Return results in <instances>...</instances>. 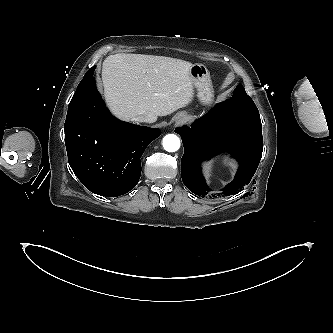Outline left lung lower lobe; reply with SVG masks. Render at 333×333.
<instances>
[{"instance_id": "obj_1", "label": "left lung lower lobe", "mask_w": 333, "mask_h": 333, "mask_svg": "<svg viewBox=\"0 0 333 333\" xmlns=\"http://www.w3.org/2000/svg\"><path fill=\"white\" fill-rule=\"evenodd\" d=\"M211 115L219 124L213 137L208 134L209 123L205 119L197 120L191 128L183 126L175 130L184 145L182 181L191 192L205 197L211 190L202 176L200 164L217 153V146L221 145L238 159L240 167L234 180L219 194L235 195L249 184L261 160L263 138L259 112L254 103L233 96L216 105Z\"/></svg>"}]
</instances>
